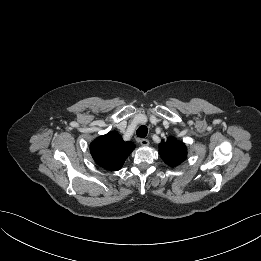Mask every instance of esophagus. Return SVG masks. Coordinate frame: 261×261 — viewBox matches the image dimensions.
Masks as SVG:
<instances>
[{
  "instance_id": "34e87169",
  "label": "esophagus",
  "mask_w": 261,
  "mask_h": 261,
  "mask_svg": "<svg viewBox=\"0 0 261 261\" xmlns=\"http://www.w3.org/2000/svg\"><path fill=\"white\" fill-rule=\"evenodd\" d=\"M138 142L141 146H148L149 145V140H147V139H139Z\"/></svg>"
}]
</instances>
